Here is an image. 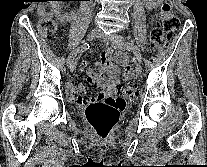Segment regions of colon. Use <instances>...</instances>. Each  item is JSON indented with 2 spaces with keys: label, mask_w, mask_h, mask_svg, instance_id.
<instances>
[{
  "label": "colon",
  "mask_w": 207,
  "mask_h": 167,
  "mask_svg": "<svg viewBox=\"0 0 207 167\" xmlns=\"http://www.w3.org/2000/svg\"><path fill=\"white\" fill-rule=\"evenodd\" d=\"M38 29L52 35L57 31V24L53 19L51 7L43 5L39 8ZM162 21L160 24L152 26L150 31V43L153 48L162 51L166 48L168 40L165 34L171 36L179 27V18L172 10L168 2L161 6ZM120 62L126 60V56H118ZM118 98H107L92 103L86 110V119L93 128L97 136L101 139L107 138L110 131L118 121L119 112L126 106V99L137 94V87L132 82H124L119 88Z\"/></svg>",
  "instance_id": "5ec220e1"
}]
</instances>
